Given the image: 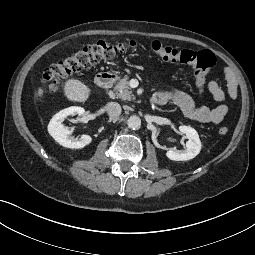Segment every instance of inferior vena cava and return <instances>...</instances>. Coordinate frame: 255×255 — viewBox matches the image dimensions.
<instances>
[{
    "mask_svg": "<svg viewBox=\"0 0 255 255\" xmlns=\"http://www.w3.org/2000/svg\"><path fill=\"white\" fill-rule=\"evenodd\" d=\"M107 113L109 114L111 119H117L121 113V106L116 102H109L106 105Z\"/></svg>",
    "mask_w": 255,
    "mask_h": 255,
    "instance_id": "1",
    "label": "inferior vena cava"
}]
</instances>
